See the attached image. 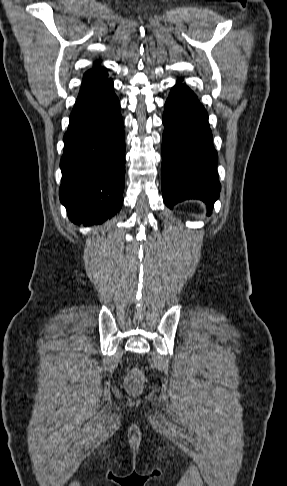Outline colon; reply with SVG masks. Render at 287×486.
<instances>
[{
	"label": "colon",
	"mask_w": 287,
	"mask_h": 486,
	"mask_svg": "<svg viewBox=\"0 0 287 486\" xmlns=\"http://www.w3.org/2000/svg\"><path fill=\"white\" fill-rule=\"evenodd\" d=\"M143 384V376L139 370H132L126 380V387L131 392L138 391Z\"/></svg>",
	"instance_id": "colon-1"
}]
</instances>
